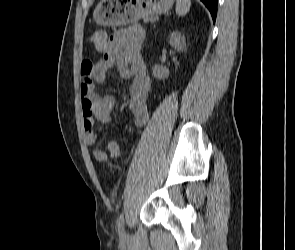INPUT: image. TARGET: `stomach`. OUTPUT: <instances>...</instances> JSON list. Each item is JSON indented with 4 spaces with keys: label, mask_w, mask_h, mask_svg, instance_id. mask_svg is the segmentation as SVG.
<instances>
[{
    "label": "stomach",
    "mask_w": 295,
    "mask_h": 250,
    "mask_svg": "<svg viewBox=\"0 0 295 250\" xmlns=\"http://www.w3.org/2000/svg\"><path fill=\"white\" fill-rule=\"evenodd\" d=\"M174 0H101L93 12L98 25L117 26L168 12Z\"/></svg>",
    "instance_id": "stomach-1"
}]
</instances>
